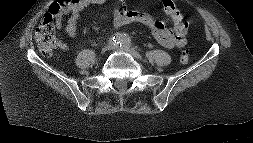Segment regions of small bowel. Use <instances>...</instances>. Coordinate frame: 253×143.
Instances as JSON below:
<instances>
[{"label": "small bowel", "instance_id": "c3829d8e", "mask_svg": "<svg viewBox=\"0 0 253 143\" xmlns=\"http://www.w3.org/2000/svg\"><path fill=\"white\" fill-rule=\"evenodd\" d=\"M109 0H69L61 5L55 14V25L58 29L64 27V31L68 38H73L77 32V24L81 12L89 6L102 5ZM129 0H118V4L113 9L112 22L115 27H123L128 24L138 23L148 27L162 46L168 49L182 48L186 44L185 34L177 31V26L181 20H185L177 9L172 0L163 1V11L171 17L174 23V32L171 31L164 22L153 19L150 15L132 11L128 6ZM171 7L176 8L173 11ZM68 16L66 24H63V19ZM63 49L67 48L66 44L61 45Z\"/></svg>", "mask_w": 253, "mask_h": 143}]
</instances>
